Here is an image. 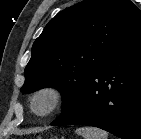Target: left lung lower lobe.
I'll use <instances>...</instances> for the list:
<instances>
[{"label": "left lung lower lobe", "mask_w": 141, "mask_h": 139, "mask_svg": "<svg viewBox=\"0 0 141 139\" xmlns=\"http://www.w3.org/2000/svg\"><path fill=\"white\" fill-rule=\"evenodd\" d=\"M99 127L119 138L141 139V30L88 76L74 102L51 125Z\"/></svg>", "instance_id": "left-lung-lower-lobe-1"}]
</instances>
